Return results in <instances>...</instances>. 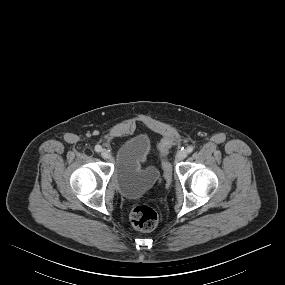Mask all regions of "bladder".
<instances>
[{"instance_id":"obj_1","label":"bladder","mask_w":285,"mask_h":285,"mask_svg":"<svg viewBox=\"0 0 285 285\" xmlns=\"http://www.w3.org/2000/svg\"><path fill=\"white\" fill-rule=\"evenodd\" d=\"M152 147L153 140L146 133H135L118 146L114 158L113 182L123 197H139L160 180L156 167L143 165Z\"/></svg>"}]
</instances>
